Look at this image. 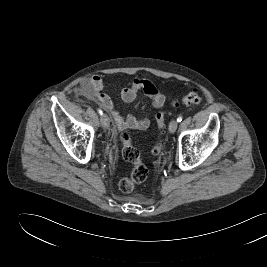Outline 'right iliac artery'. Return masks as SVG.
Masks as SVG:
<instances>
[{"instance_id": "82829eb1", "label": "right iliac artery", "mask_w": 267, "mask_h": 267, "mask_svg": "<svg viewBox=\"0 0 267 267\" xmlns=\"http://www.w3.org/2000/svg\"><path fill=\"white\" fill-rule=\"evenodd\" d=\"M98 113H99L100 115H102V114H103V112H102V110H101V109H98Z\"/></svg>"}]
</instances>
